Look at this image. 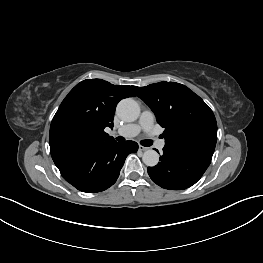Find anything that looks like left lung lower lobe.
<instances>
[{
    "mask_svg": "<svg viewBox=\"0 0 263 263\" xmlns=\"http://www.w3.org/2000/svg\"><path fill=\"white\" fill-rule=\"evenodd\" d=\"M209 160L163 148L155 167H148L150 178L160 187L182 190L194 185L210 165Z\"/></svg>",
    "mask_w": 263,
    "mask_h": 263,
    "instance_id": "left-lung-lower-lobe-1",
    "label": "left lung lower lobe"
}]
</instances>
